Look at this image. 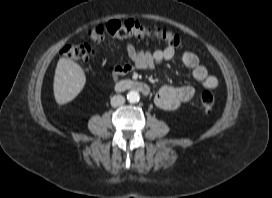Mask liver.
I'll list each match as a JSON object with an SVG mask.
<instances>
[{
	"instance_id": "liver-1",
	"label": "liver",
	"mask_w": 272,
	"mask_h": 198,
	"mask_svg": "<svg viewBox=\"0 0 272 198\" xmlns=\"http://www.w3.org/2000/svg\"><path fill=\"white\" fill-rule=\"evenodd\" d=\"M86 77L81 66L69 58H60L54 76V97L58 104L72 101L83 89Z\"/></svg>"
}]
</instances>
